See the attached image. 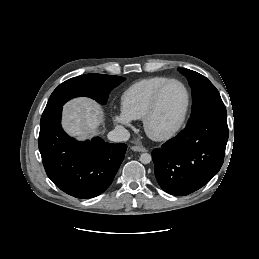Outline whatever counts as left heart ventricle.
<instances>
[{
	"instance_id": "b2bd125f",
	"label": "left heart ventricle",
	"mask_w": 259,
	"mask_h": 259,
	"mask_svg": "<svg viewBox=\"0 0 259 259\" xmlns=\"http://www.w3.org/2000/svg\"><path fill=\"white\" fill-rule=\"evenodd\" d=\"M186 104V94L178 83L169 84L162 92L158 109L151 120L155 133L168 131L180 120Z\"/></svg>"
}]
</instances>
